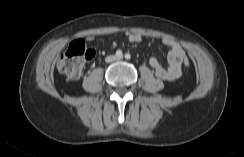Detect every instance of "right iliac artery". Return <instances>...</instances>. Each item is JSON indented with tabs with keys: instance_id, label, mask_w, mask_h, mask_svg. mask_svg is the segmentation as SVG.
I'll return each mask as SVG.
<instances>
[{
	"instance_id": "82829eb1",
	"label": "right iliac artery",
	"mask_w": 244,
	"mask_h": 157,
	"mask_svg": "<svg viewBox=\"0 0 244 157\" xmlns=\"http://www.w3.org/2000/svg\"><path fill=\"white\" fill-rule=\"evenodd\" d=\"M122 55H123V53H122L121 50H117V51H116V56L120 57V56H122Z\"/></svg>"
}]
</instances>
